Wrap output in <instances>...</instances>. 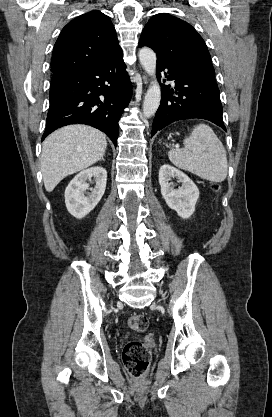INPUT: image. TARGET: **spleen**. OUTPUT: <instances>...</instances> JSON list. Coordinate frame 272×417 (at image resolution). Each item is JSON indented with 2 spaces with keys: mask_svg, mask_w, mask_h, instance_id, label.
Returning a JSON list of instances; mask_svg holds the SVG:
<instances>
[{
  "mask_svg": "<svg viewBox=\"0 0 272 417\" xmlns=\"http://www.w3.org/2000/svg\"><path fill=\"white\" fill-rule=\"evenodd\" d=\"M169 160L178 168L214 183L227 177L226 150L211 127L196 125L184 139V148L171 149Z\"/></svg>",
  "mask_w": 272,
  "mask_h": 417,
  "instance_id": "1",
  "label": "spleen"
}]
</instances>
